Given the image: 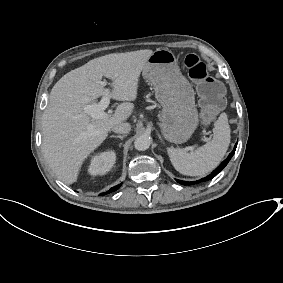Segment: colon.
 <instances>
[{"label":"colon","mask_w":283,"mask_h":283,"mask_svg":"<svg viewBox=\"0 0 283 283\" xmlns=\"http://www.w3.org/2000/svg\"><path fill=\"white\" fill-rule=\"evenodd\" d=\"M182 61L190 78L196 83L201 102V117L211 122L224 106V90L218 80L211 76L207 66L195 54H186Z\"/></svg>","instance_id":"1"}]
</instances>
